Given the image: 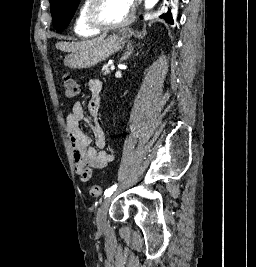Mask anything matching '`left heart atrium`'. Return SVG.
Listing matches in <instances>:
<instances>
[{
  "label": "left heart atrium",
  "instance_id": "1",
  "mask_svg": "<svg viewBox=\"0 0 256 267\" xmlns=\"http://www.w3.org/2000/svg\"><path fill=\"white\" fill-rule=\"evenodd\" d=\"M135 0H118V2L128 11L133 12Z\"/></svg>",
  "mask_w": 256,
  "mask_h": 267
}]
</instances>
